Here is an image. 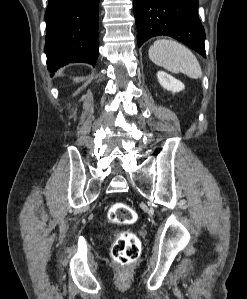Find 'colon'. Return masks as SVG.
Listing matches in <instances>:
<instances>
[{
    "label": "colon",
    "instance_id": "obj_1",
    "mask_svg": "<svg viewBox=\"0 0 247 299\" xmlns=\"http://www.w3.org/2000/svg\"><path fill=\"white\" fill-rule=\"evenodd\" d=\"M108 220L118 225L133 224L137 220V213L126 203H114L108 211ZM141 243L138 236L131 231H120L114 235L112 257L120 265L133 264L139 257Z\"/></svg>",
    "mask_w": 247,
    "mask_h": 299
}]
</instances>
